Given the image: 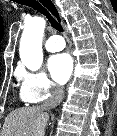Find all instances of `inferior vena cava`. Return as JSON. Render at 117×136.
<instances>
[{
    "label": "inferior vena cava",
    "mask_w": 117,
    "mask_h": 136,
    "mask_svg": "<svg viewBox=\"0 0 117 136\" xmlns=\"http://www.w3.org/2000/svg\"><path fill=\"white\" fill-rule=\"evenodd\" d=\"M64 97V90L61 86L55 85L51 92V96L41 105V108L44 111H49L50 109L55 108L61 103Z\"/></svg>",
    "instance_id": "inferior-vena-cava-1"
}]
</instances>
